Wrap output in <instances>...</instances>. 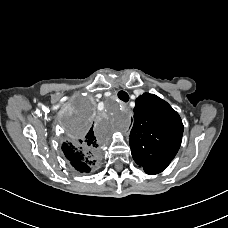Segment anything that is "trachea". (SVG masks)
<instances>
[{"label": "trachea", "mask_w": 228, "mask_h": 228, "mask_svg": "<svg viewBox=\"0 0 228 228\" xmlns=\"http://www.w3.org/2000/svg\"><path fill=\"white\" fill-rule=\"evenodd\" d=\"M118 98L123 102L129 101V95L125 91H119L118 92Z\"/></svg>", "instance_id": "3493384b"}]
</instances>
